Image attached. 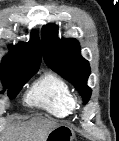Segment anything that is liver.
Wrapping results in <instances>:
<instances>
[{
  "label": "liver",
  "mask_w": 119,
  "mask_h": 141,
  "mask_svg": "<svg viewBox=\"0 0 119 141\" xmlns=\"http://www.w3.org/2000/svg\"><path fill=\"white\" fill-rule=\"evenodd\" d=\"M59 125L52 119L34 117L18 124L2 141H46L48 134Z\"/></svg>",
  "instance_id": "obj_1"
}]
</instances>
